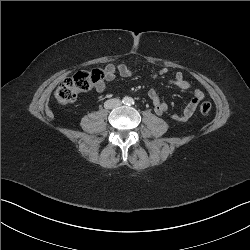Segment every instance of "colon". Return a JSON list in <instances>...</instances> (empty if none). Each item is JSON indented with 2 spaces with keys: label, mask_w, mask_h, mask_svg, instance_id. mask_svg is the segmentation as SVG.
<instances>
[{
  "label": "colon",
  "mask_w": 250,
  "mask_h": 250,
  "mask_svg": "<svg viewBox=\"0 0 250 250\" xmlns=\"http://www.w3.org/2000/svg\"><path fill=\"white\" fill-rule=\"evenodd\" d=\"M103 78L104 74L100 70L79 71L60 83L56 89L55 98L61 105L72 104L80 92L90 90ZM211 108L209 102H204L200 106V112L206 115L211 111Z\"/></svg>",
  "instance_id": "5ec220e1"
}]
</instances>
